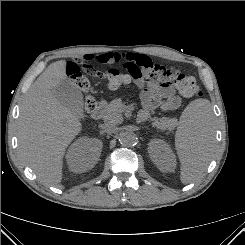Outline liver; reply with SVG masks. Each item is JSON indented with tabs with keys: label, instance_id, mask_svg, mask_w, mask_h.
Instances as JSON below:
<instances>
[{
	"label": "liver",
	"instance_id": "1",
	"mask_svg": "<svg viewBox=\"0 0 245 245\" xmlns=\"http://www.w3.org/2000/svg\"><path fill=\"white\" fill-rule=\"evenodd\" d=\"M65 60L50 64L31 85L18 120V149L22 160L44 185L62 180L63 157L82 124L58 102L53 89L67 78Z\"/></svg>",
	"mask_w": 245,
	"mask_h": 245
}]
</instances>
